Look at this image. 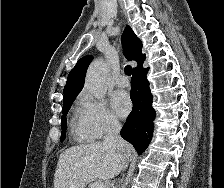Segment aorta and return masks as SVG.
<instances>
[{
	"label": "aorta",
	"instance_id": "obj_1",
	"mask_svg": "<svg viewBox=\"0 0 224 188\" xmlns=\"http://www.w3.org/2000/svg\"><path fill=\"white\" fill-rule=\"evenodd\" d=\"M106 75L107 66L102 59L95 60L87 70L85 86L97 99L106 94Z\"/></svg>",
	"mask_w": 224,
	"mask_h": 188
}]
</instances>
